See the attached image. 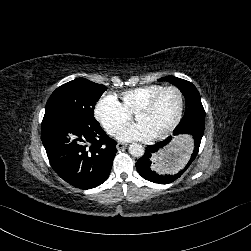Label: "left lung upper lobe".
Masks as SVG:
<instances>
[{
	"label": "left lung upper lobe",
	"instance_id": "obj_1",
	"mask_svg": "<svg viewBox=\"0 0 251 251\" xmlns=\"http://www.w3.org/2000/svg\"><path fill=\"white\" fill-rule=\"evenodd\" d=\"M158 81H168L178 87L186 100V113L178 126L193 125L205 127V111L201 103V98L196 87L189 81L167 76Z\"/></svg>",
	"mask_w": 251,
	"mask_h": 251
}]
</instances>
